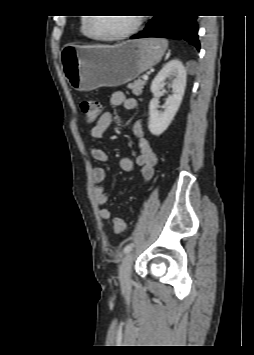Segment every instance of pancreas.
I'll list each match as a JSON object with an SVG mask.
<instances>
[{"label": "pancreas", "instance_id": "1", "mask_svg": "<svg viewBox=\"0 0 254 355\" xmlns=\"http://www.w3.org/2000/svg\"><path fill=\"white\" fill-rule=\"evenodd\" d=\"M145 84V80L138 79L133 83L128 84L127 88L131 89L134 95L139 96L141 95Z\"/></svg>", "mask_w": 254, "mask_h": 355}]
</instances>
